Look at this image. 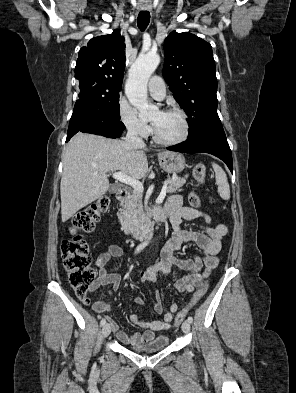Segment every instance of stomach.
I'll list each match as a JSON object with an SVG mask.
<instances>
[{
  "label": "stomach",
  "instance_id": "1",
  "mask_svg": "<svg viewBox=\"0 0 296 393\" xmlns=\"http://www.w3.org/2000/svg\"><path fill=\"white\" fill-rule=\"evenodd\" d=\"M161 168L167 173H180L186 167L185 158L176 152H162L158 155Z\"/></svg>",
  "mask_w": 296,
  "mask_h": 393
}]
</instances>
